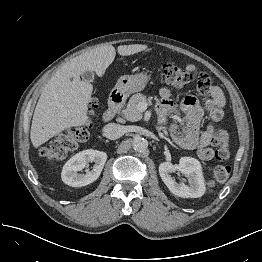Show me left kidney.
<instances>
[{"label": "left kidney", "instance_id": "5707ae66", "mask_svg": "<svg viewBox=\"0 0 262 262\" xmlns=\"http://www.w3.org/2000/svg\"><path fill=\"white\" fill-rule=\"evenodd\" d=\"M178 170L187 179L189 185L177 183L171 172ZM159 174L162 181L168 187L170 192L182 198H198L205 193V181L202 173L201 164L197 159L191 157H182L179 164L163 162L159 165Z\"/></svg>", "mask_w": 262, "mask_h": 262}]
</instances>
